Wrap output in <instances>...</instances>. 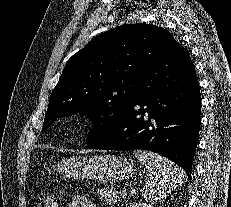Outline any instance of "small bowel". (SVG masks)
<instances>
[{
	"label": "small bowel",
	"instance_id": "1",
	"mask_svg": "<svg viewBox=\"0 0 231 207\" xmlns=\"http://www.w3.org/2000/svg\"><path fill=\"white\" fill-rule=\"evenodd\" d=\"M69 207H97L92 201L83 196H74Z\"/></svg>",
	"mask_w": 231,
	"mask_h": 207
}]
</instances>
